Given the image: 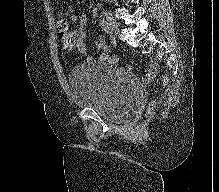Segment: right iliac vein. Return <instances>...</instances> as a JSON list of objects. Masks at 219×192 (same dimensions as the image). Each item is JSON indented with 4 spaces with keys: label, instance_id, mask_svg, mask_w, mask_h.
<instances>
[{
    "label": "right iliac vein",
    "instance_id": "obj_1",
    "mask_svg": "<svg viewBox=\"0 0 219 192\" xmlns=\"http://www.w3.org/2000/svg\"><path fill=\"white\" fill-rule=\"evenodd\" d=\"M112 33L116 36L119 33V23L109 12L105 13Z\"/></svg>",
    "mask_w": 219,
    "mask_h": 192
}]
</instances>
